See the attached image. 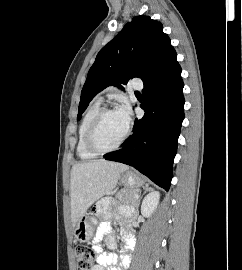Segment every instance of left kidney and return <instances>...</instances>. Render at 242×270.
Listing matches in <instances>:
<instances>
[{"label": "left kidney", "mask_w": 242, "mask_h": 270, "mask_svg": "<svg viewBox=\"0 0 242 270\" xmlns=\"http://www.w3.org/2000/svg\"><path fill=\"white\" fill-rule=\"evenodd\" d=\"M159 199L160 193L158 191H152L151 193H149L142 202L141 214L145 217H150L157 208Z\"/></svg>", "instance_id": "left-kidney-1"}]
</instances>
